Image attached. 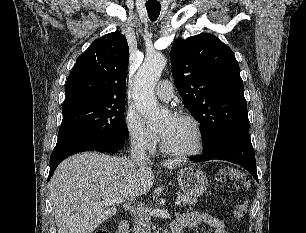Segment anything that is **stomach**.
<instances>
[{
  "mask_svg": "<svg viewBox=\"0 0 306 233\" xmlns=\"http://www.w3.org/2000/svg\"><path fill=\"white\" fill-rule=\"evenodd\" d=\"M177 181L185 195L202 196L208 186L206 175L194 166H185L177 172Z\"/></svg>",
  "mask_w": 306,
  "mask_h": 233,
  "instance_id": "obj_1",
  "label": "stomach"
}]
</instances>
